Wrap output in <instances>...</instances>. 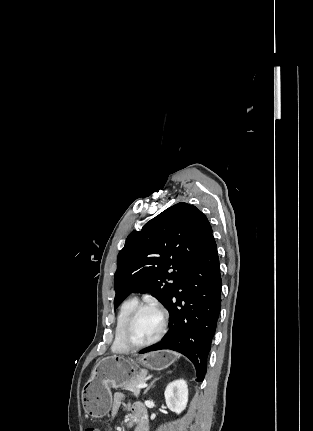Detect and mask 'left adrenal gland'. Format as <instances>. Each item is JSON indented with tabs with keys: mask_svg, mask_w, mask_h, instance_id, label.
I'll return each mask as SVG.
<instances>
[{
	"mask_svg": "<svg viewBox=\"0 0 313 431\" xmlns=\"http://www.w3.org/2000/svg\"><path fill=\"white\" fill-rule=\"evenodd\" d=\"M158 379V377L157 378H155L150 384H149V386L146 388V390L144 391V395L145 394H147L148 393V391L153 387V385H154V383H155V381Z\"/></svg>",
	"mask_w": 313,
	"mask_h": 431,
	"instance_id": "1",
	"label": "left adrenal gland"
}]
</instances>
